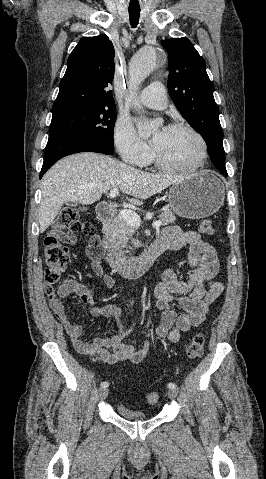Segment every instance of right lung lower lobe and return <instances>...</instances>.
<instances>
[{"instance_id":"98d812e1","label":"right lung lower lobe","mask_w":266,"mask_h":479,"mask_svg":"<svg viewBox=\"0 0 266 479\" xmlns=\"http://www.w3.org/2000/svg\"><path fill=\"white\" fill-rule=\"evenodd\" d=\"M113 147L92 139L62 133L49 134L44 153V162L40 179L44 173L59 159L78 152H97L110 155Z\"/></svg>"}]
</instances>
